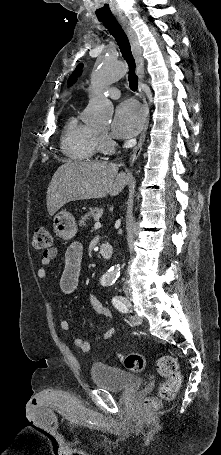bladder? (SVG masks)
<instances>
[{"mask_svg": "<svg viewBox=\"0 0 221 455\" xmlns=\"http://www.w3.org/2000/svg\"><path fill=\"white\" fill-rule=\"evenodd\" d=\"M90 373L94 385L112 391L129 392L143 384L142 377L105 364H93Z\"/></svg>", "mask_w": 221, "mask_h": 455, "instance_id": "obj_1", "label": "bladder"}]
</instances>
